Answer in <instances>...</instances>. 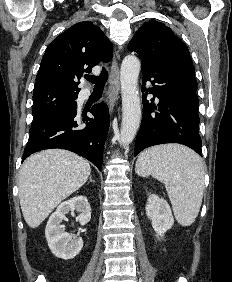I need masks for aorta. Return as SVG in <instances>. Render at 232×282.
Segmentation results:
<instances>
[{"label":"aorta","instance_id":"obj_1","mask_svg":"<svg viewBox=\"0 0 232 282\" xmlns=\"http://www.w3.org/2000/svg\"><path fill=\"white\" fill-rule=\"evenodd\" d=\"M140 61L127 55L121 64L120 82L122 94V123L120 142L124 145L133 141L141 121V104L138 92Z\"/></svg>","mask_w":232,"mask_h":282}]
</instances>
